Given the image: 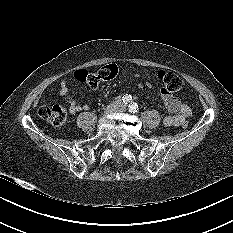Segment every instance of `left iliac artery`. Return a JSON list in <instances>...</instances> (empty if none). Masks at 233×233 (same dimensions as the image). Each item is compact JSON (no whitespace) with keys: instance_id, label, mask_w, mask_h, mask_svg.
Returning a JSON list of instances; mask_svg holds the SVG:
<instances>
[{"instance_id":"obj_1","label":"left iliac artery","mask_w":233,"mask_h":233,"mask_svg":"<svg viewBox=\"0 0 233 233\" xmlns=\"http://www.w3.org/2000/svg\"><path fill=\"white\" fill-rule=\"evenodd\" d=\"M138 111V105L136 104V103H134V102H131L130 104H129V112H131V113H136Z\"/></svg>"}]
</instances>
